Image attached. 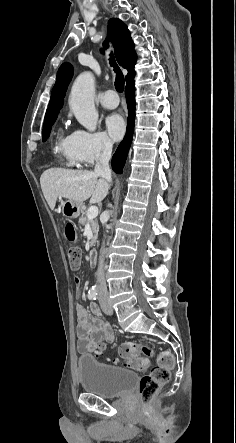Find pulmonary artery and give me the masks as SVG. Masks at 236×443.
Segmentation results:
<instances>
[{
    "instance_id": "pulmonary-artery-1",
    "label": "pulmonary artery",
    "mask_w": 236,
    "mask_h": 443,
    "mask_svg": "<svg viewBox=\"0 0 236 443\" xmlns=\"http://www.w3.org/2000/svg\"><path fill=\"white\" fill-rule=\"evenodd\" d=\"M115 95V91L113 90H107L103 93V95L100 98V103L103 107L108 109H114L118 106L119 101L116 99H112V97Z\"/></svg>"
}]
</instances>
